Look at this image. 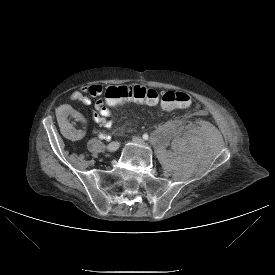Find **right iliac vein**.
<instances>
[{"mask_svg": "<svg viewBox=\"0 0 275 275\" xmlns=\"http://www.w3.org/2000/svg\"><path fill=\"white\" fill-rule=\"evenodd\" d=\"M119 148V143L118 142H111L108 146H107V151L110 153H114L115 151H117Z\"/></svg>", "mask_w": 275, "mask_h": 275, "instance_id": "1", "label": "right iliac vein"}]
</instances>
